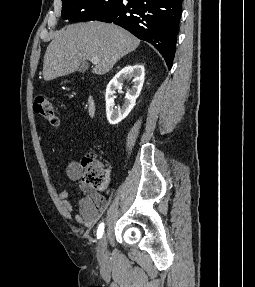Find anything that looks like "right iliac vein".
I'll return each instance as SVG.
<instances>
[{
  "mask_svg": "<svg viewBox=\"0 0 255 287\" xmlns=\"http://www.w3.org/2000/svg\"><path fill=\"white\" fill-rule=\"evenodd\" d=\"M107 238H106V234L103 235L102 239L100 240L99 243V248H98V258L100 261H105L107 259Z\"/></svg>",
  "mask_w": 255,
  "mask_h": 287,
  "instance_id": "1",
  "label": "right iliac vein"
}]
</instances>
